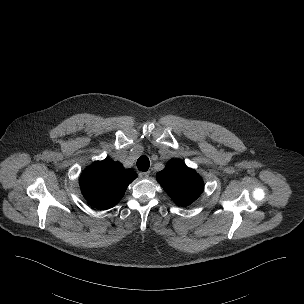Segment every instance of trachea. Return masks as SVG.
Returning a JSON list of instances; mask_svg holds the SVG:
<instances>
[{
	"label": "trachea",
	"instance_id": "obj_1",
	"mask_svg": "<svg viewBox=\"0 0 304 304\" xmlns=\"http://www.w3.org/2000/svg\"><path fill=\"white\" fill-rule=\"evenodd\" d=\"M149 166H150V161L148 159L147 156L145 155H142L138 158L137 160V168L140 170V171H147L149 169Z\"/></svg>",
	"mask_w": 304,
	"mask_h": 304
}]
</instances>
